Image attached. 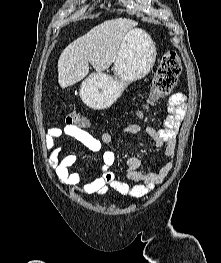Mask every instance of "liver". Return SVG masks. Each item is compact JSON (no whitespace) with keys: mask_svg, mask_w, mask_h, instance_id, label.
Masks as SVG:
<instances>
[{"mask_svg":"<svg viewBox=\"0 0 221 263\" xmlns=\"http://www.w3.org/2000/svg\"><path fill=\"white\" fill-rule=\"evenodd\" d=\"M138 23L128 18L104 21L70 43L58 60L61 88L74 85L89 73V63L97 72L107 70L115 61L125 35Z\"/></svg>","mask_w":221,"mask_h":263,"instance_id":"1","label":"liver"}]
</instances>
